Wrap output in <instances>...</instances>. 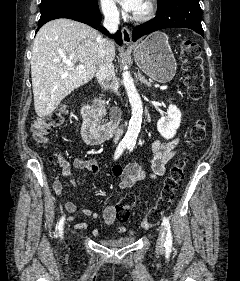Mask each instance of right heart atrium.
<instances>
[{"label": "right heart atrium", "mask_w": 240, "mask_h": 281, "mask_svg": "<svg viewBox=\"0 0 240 281\" xmlns=\"http://www.w3.org/2000/svg\"><path fill=\"white\" fill-rule=\"evenodd\" d=\"M99 5L106 18L110 20L119 18L120 10L114 0H99Z\"/></svg>", "instance_id": "d8ad5b80"}]
</instances>
